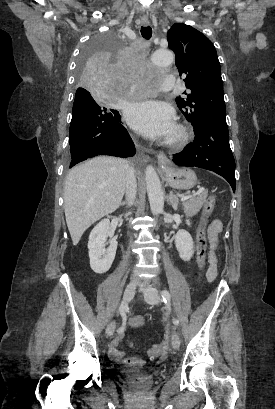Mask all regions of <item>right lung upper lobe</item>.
<instances>
[{
	"mask_svg": "<svg viewBox=\"0 0 275 409\" xmlns=\"http://www.w3.org/2000/svg\"><path fill=\"white\" fill-rule=\"evenodd\" d=\"M77 91H84V90H79V88H78Z\"/></svg>",
	"mask_w": 275,
	"mask_h": 409,
	"instance_id": "cb5924a9",
	"label": "right lung upper lobe"
}]
</instances>
